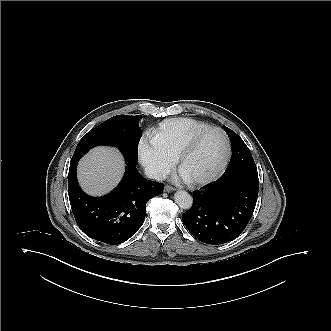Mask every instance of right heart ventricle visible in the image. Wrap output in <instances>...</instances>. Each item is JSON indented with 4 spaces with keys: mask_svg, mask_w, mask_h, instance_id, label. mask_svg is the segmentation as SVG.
<instances>
[{
    "mask_svg": "<svg viewBox=\"0 0 331 331\" xmlns=\"http://www.w3.org/2000/svg\"><path fill=\"white\" fill-rule=\"evenodd\" d=\"M209 127V124L192 118H172L160 124L159 129L153 132L151 141L156 148L175 156L192 136Z\"/></svg>",
    "mask_w": 331,
    "mask_h": 331,
    "instance_id": "1",
    "label": "right heart ventricle"
}]
</instances>
